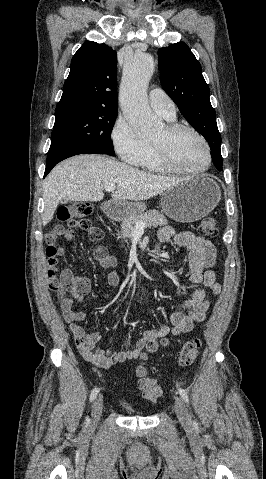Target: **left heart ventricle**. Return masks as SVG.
<instances>
[{
  "mask_svg": "<svg viewBox=\"0 0 266 479\" xmlns=\"http://www.w3.org/2000/svg\"><path fill=\"white\" fill-rule=\"evenodd\" d=\"M160 144L169 159L178 167L195 170L206 162L205 150L199 139L190 132L181 131L170 134L165 126L151 139Z\"/></svg>",
  "mask_w": 266,
  "mask_h": 479,
  "instance_id": "left-heart-ventricle-1",
  "label": "left heart ventricle"
}]
</instances>
